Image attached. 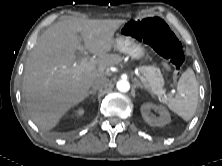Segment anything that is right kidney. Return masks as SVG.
<instances>
[{"mask_svg": "<svg viewBox=\"0 0 222 166\" xmlns=\"http://www.w3.org/2000/svg\"><path fill=\"white\" fill-rule=\"evenodd\" d=\"M84 114V109L83 108H79L78 110H75L74 113L72 114V116L74 117H81Z\"/></svg>", "mask_w": 222, "mask_h": 166, "instance_id": "obj_1", "label": "right kidney"}]
</instances>
